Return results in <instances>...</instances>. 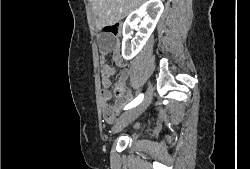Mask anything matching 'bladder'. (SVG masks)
Returning a JSON list of instances; mask_svg holds the SVG:
<instances>
[{
	"label": "bladder",
	"instance_id": "obj_1",
	"mask_svg": "<svg viewBox=\"0 0 250 169\" xmlns=\"http://www.w3.org/2000/svg\"><path fill=\"white\" fill-rule=\"evenodd\" d=\"M131 140L134 143H139L141 141V135L139 133H133L131 136Z\"/></svg>",
	"mask_w": 250,
	"mask_h": 169
}]
</instances>
